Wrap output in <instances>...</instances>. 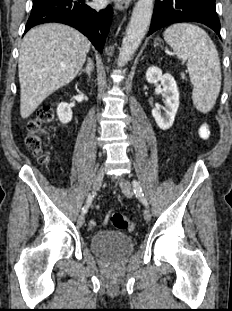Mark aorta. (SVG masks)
Here are the masks:
<instances>
[{
    "mask_svg": "<svg viewBox=\"0 0 232 311\" xmlns=\"http://www.w3.org/2000/svg\"><path fill=\"white\" fill-rule=\"evenodd\" d=\"M154 0H138L135 5L118 59V65L124 66L141 44L151 21Z\"/></svg>",
    "mask_w": 232,
    "mask_h": 311,
    "instance_id": "aorta-1",
    "label": "aorta"
}]
</instances>
